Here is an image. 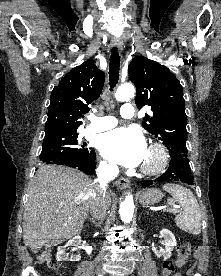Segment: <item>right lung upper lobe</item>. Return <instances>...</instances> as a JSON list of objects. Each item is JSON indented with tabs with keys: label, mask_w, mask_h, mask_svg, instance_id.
<instances>
[{
	"label": "right lung upper lobe",
	"mask_w": 221,
	"mask_h": 276,
	"mask_svg": "<svg viewBox=\"0 0 221 276\" xmlns=\"http://www.w3.org/2000/svg\"><path fill=\"white\" fill-rule=\"evenodd\" d=\"M104 79L91 59L66 73L51 93L45 134L76 131L88 105L100 96Z\"/></svg>",
	"instance_id": "cb5924a9"
}]
</instances>
